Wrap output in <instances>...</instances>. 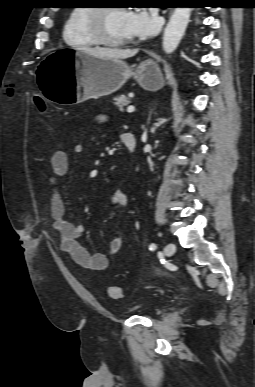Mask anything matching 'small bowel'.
<instances>
[{
    "label": "small bowel",
    "mask_w": 255,
    "mask_h": 387,
    "mask_svg": "<svg viewBox=\"0 0 255 387\" xmlns=\"http://www.w3.org/2000/svg\"><path fill=\"white\" fill-rule=\"evenodd\" d=\"M108 117L101 115L99 122H106ZM82 143H76L73 146L72 155L64 150L54 152L50 159V174L47 176V184L50 189V216L53 221L52 226L56 232L60 248L70 255L72 260L79 266L89 269L102 271L108 267L109 258L119 252L123 245V235L117 234L110 242L106 253H90L84 248L78 239L84 234L82 224L66 220L65 204L61 193L60 177L68 171L72 156L83 153ZM110 200L115 205L125 206L128 202L127 196L121 187H115L110 194Z\"/></svg>",
    "instance_id": "small-bowel-1"
}]
</instances>
